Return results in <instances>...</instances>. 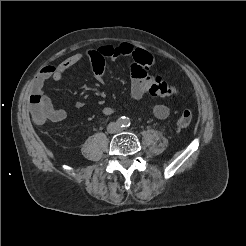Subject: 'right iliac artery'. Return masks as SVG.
Returning a JSON list of instances; mask_svg holds the SVG:
<instances>
[{"instance_id":"obj_1","label":"right iliac artery","mask_w":246,"mask_h":246,"mask_svg":"<svg viewBox=\"0 0 246 246\" xmlns=\"http://www.w3.org/2000/svg\"><path fill=\"white\" fill-rule=\"evenodd\" d=\"M117 124H118L119 126L123 127V126H124V120L118 119V120H117Z\"/></svg>"}]
</instances>
